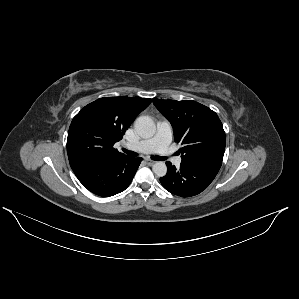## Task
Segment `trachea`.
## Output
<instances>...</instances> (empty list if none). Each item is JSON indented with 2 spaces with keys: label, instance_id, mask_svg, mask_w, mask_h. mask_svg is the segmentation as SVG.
Returning a JSON list of instances; mask_svg holds the SVG:
<instances>
[{
  "label": "trachea",
  "instance_id": "trachea-1",
  "mask_svg": "<svg viewBox=\"0 0 299 299\" xmlns=\"http://www.w3.org/2000/svg\"><path fill=\"white\" fill-rule=\"evenodd\" d=\"M123 152L126 153L130 157H137L138 156V154L136 152L129 151V150H126V149H123ZM151 159L155 160V161H164L166 158L162 157V156H152Z\"/></svg>",
  "mask_w": 299,
  "mask_h": 299
}]
</instances>
